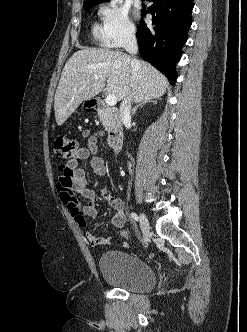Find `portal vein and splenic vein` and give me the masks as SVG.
Listing matches in <instances>:
<instances>
[{
	"label": "portal vein and splenic vein",
	"instance_id": "obj_1",
	"mask_svg": "<svg viewBox=\"0 0 247 332\" xmlns=\"http://www.w3.org/2000/svg\"><path fill=\"white\" fill-rule=\"evenodd\" d=\"M105 101H106V104L109 105V106H114L117 103V99H116L114 94L107 95Z\"/></svg>",
	"mask_w": 247,
	"mask_h": 332
}]
</instances>
